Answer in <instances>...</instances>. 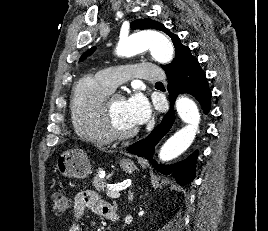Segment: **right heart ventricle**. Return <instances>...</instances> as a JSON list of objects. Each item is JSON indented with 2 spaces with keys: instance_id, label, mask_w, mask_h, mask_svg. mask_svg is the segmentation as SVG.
<instances>
[{
  "instance_id": "obj_1",
  "label": "right heart ventricle",
  "mask_w": 268,
  "mask_h": 231,
  "mask_svg": "<svg viewBox=\"0 0 268 231\" xmlns=\"http://www.w3.org/2000/svg\"><path fill=\"white\" fill-rule=\"evenodd\" d=\"M113 90L97 77L86 76L76 86L69 110L74 132L99 145L111 142L104 129L102 105Z\"/></svg>"
}]
</instances>
